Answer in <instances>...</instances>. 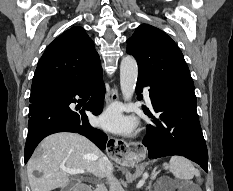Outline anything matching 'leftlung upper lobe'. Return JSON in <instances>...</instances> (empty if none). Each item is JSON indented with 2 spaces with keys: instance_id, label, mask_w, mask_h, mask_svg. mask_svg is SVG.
<instances>
[{
  "instance_id": "5c2ea615",
  "label": "left lung upper lobe",
  "mask_w": 233,
  "mask_h": 191,
  "mask_svg": "<svg viewBox=\"0 0 233 191\" xmlns=\"http://www.w3.org/2000/svg\"><path fill=\"white\" fill-rule=\"evenodd\" d=\"M126 52L137 60L139 74L195 95L182 52L163 31L151 25H140L127 40Z\"/></svg>"
}]
</instances>
